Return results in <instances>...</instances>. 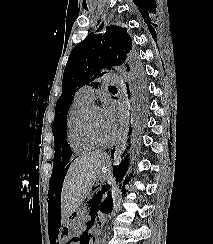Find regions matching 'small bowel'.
I'll list each match as a JSON object with an SVG mask.
<instances>
[{
	"mask_svg": "<svg viewBox=\"0 0 213 244\" xmlns=\"http://www.w3.org/2000/svg\"><path fill=\"white\" fill-rule=\"evenodd\" d=\"M82 243L83 242L80 239H78L76 241L71 242L70 244H82Z\"/></svg>",
	"mask_w": 213,
	"mask_h": 244,
	"instance_id": "1",
	"label": "small bowel"
}]
</instances>
